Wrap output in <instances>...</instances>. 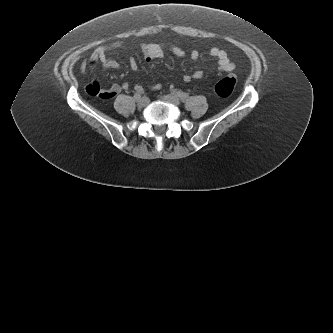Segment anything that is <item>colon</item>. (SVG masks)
<instances>
[{
    "label": "colon",
    "instance_id": "obj_1",
    "mask_svg": "<svg viewBox=\"0 0 333 333\" xmlns=\"http://www.w3.org/2000/svg\"><path fill=\"white\" fill-rule=\"evenodd\" d=\"M236 86V79L233 76H227L219 80L215 84V92L222 98H227L232 95Z\"/></svg>",
    "mask_w": 333,
    "mask_h": 333
}]
</instances>
